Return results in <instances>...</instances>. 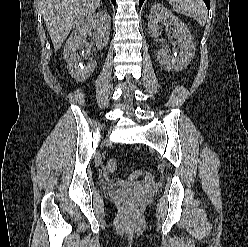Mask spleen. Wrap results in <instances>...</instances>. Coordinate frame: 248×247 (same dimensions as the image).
I'll list each match as a JSON object with an SVG mask.
<instances>
[{"label": "spleen", "mask_w": 248, "mask_h": 247, "mask_svg": "<svg viewBox=\"0 0 248 247\" xmlns=\"http://www.w3.org/2000/svg\"><path fill=\"white\" fill-rule=\"evenodd\" d=\"M177 13L193 17L201 26L206 23L207 10L203 0H168Z\"/></svg>", "instance_id": "1"}]
</instances>
